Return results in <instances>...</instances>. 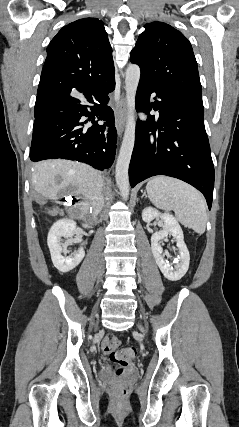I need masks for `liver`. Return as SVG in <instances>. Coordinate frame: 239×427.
I'll list each match as a JSON object with an SVG mask.
<instances>
[{
    "instance_id": "6515ba94",
    "label": "liver",
    "mask_w": 239,
    "mask_h": 427,
    "mask_svg": "<svg viewBox=\"0 0 239 427\" xmlns=\"http://www.w3.org/2000/svg\"><path fill=\"white\" fill-rule=\"evenodd\" d=\"M101 176L97 170L86 164L62 160H49L34 165L32 184L38 195V202L56 200L72 188L71 194L82 195L85 201L81 204L80 217L88 213L90 207L97 214L94 198L97 193Z\"/></svg>"
}]
</instances>
